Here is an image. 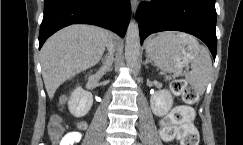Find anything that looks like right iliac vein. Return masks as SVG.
I'll return each mask as SVG.
<instances>
[{
	"mask_svg": "<svg viewBox=\"0 0 243 145\" xmlns=\"http://www.w3.org/2000/svg\"><path fill=\"white\" fill-rule=\"evenodd\" d=\"M102 145H109V143L108 142H104Z\"/></svg>",
	"mask_w": 243,
	"mask_h": 145,
	"instance_id": "obj_1",
	"label": "right iliac vein"
}]
</instances>
